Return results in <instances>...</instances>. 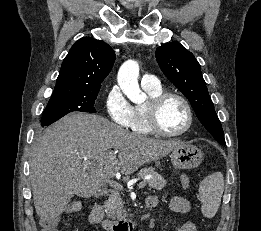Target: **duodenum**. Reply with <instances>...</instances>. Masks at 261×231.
Wrapping results in <instances>:
<instances>
[{
	"label": "duodenum",
	"mask_w": 261,
	"mask_h": 231,
	"mask_svg": "<svg viewBox=\"0 0 261 231\" xmlns=\"http://www.w3.org/2000/svg\"><path fill=\"white\" fill-rule=\"evenodd\" d=\"M146 207L149 208L150 205L146 204ZM91 222L93 224L103 222V208L99 203L95 204L91 211ZM136 224L137 221L135 219H127L120 222H104L103 226L108 231H132Z\"/></svg>",
	"instance_id": "1"
}]
</instances>
